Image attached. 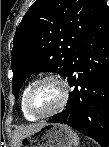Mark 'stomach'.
<instances>
[{
    "label": "stomach",
    "instance_id": "0dacf381",
    "mask_svg": "<svg viewBox=\"0 0 109 147\" xmlns=\"http://www.w3.org/2000/svg\"><path fill=\"white\" fill-rule=\"evenodd\" d=\"M73 131L64 124H46L34 133L24 137L19 147H71Z\"/></svg>",
    "mask_w": 109,
    "mask_h": 147
}]
</instances>
